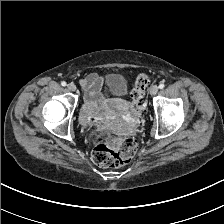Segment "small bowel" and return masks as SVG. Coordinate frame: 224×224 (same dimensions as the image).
I'll return each mask as SVG.
<instances>
[{"label": "small bowel", "instance_id": "c3829d8e", "mask_svg": "<svg viewBox=\"0 0 224 224\" xmlns=\"http://www.w3.org/2000/svg\"><path fill=\"white\" fill-rule=\"evenodd\" d=\"M84 89L85 105L82 110V119L92 116L97 106L103 107L105 105L104 94L106 89L104 80L96 73L87 75L81 81Z\"/></svg>", "mask_w": 224, "mask_h": 224}]
</instances>
